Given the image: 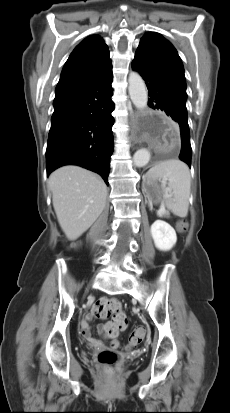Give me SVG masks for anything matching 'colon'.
Instances as JSON below:
<instances>
[{
  "mask_svg": "<svg viewBox=\"0 0 230 413\" xmlns=\"http://www.w3.org/2000/svg\"><path fill=\"white\" fill-rule=\"evenodd\" d=\"M122 304L117 299H100L93 306V314L100 319L112 318L115 320L121 315ZM114 325L113 328H115ZM111 335L114 336V329H110ZM146 336V330L142 326L136 327L129 338V346L134 347L139 345ZM116 344V343H114ZM98 362L107 369H110L117 362V354L112 350H104L98 355Z\"/></svg>",
  "mask_w": 230,
  "mask_h": 413,
  "instance_id": "5ec220e1",
  "label": "colon"
}]
</instances>
